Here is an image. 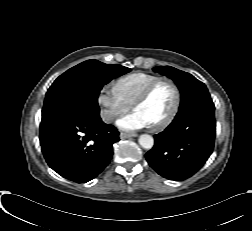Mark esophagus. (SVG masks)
I'll use <instances>...</instances> for the list:
<instances>
[{"label":"esophagus","instance_id":"esophagus-1","mask_svg":"<svg viewBox=\"0 0 252 231\" xmlns=\"http://www.w3.org/2000/svg\"><path fill=\"white\" fill-rule=\"evenodd\" d=\"M136 136V134H129V133H125V132H121L119 137L121 139H127V138H131V137H134Z\"/></svg>","mask_w":252,"mask_h":231}]
</instances>
